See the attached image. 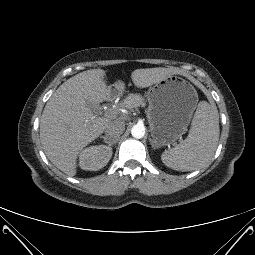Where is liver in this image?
<instances>
[{
    "mask_svg": "<svg viewBox=\"0 0 255 255\" xmlns=\"http://www.w3.org/2000/svg\"><path fill=\"white\" fill-rule=\"evenodd\" d=\"M179 73L173 68L136 69L131 79L136 87L146 88ZM105 75L104 70L96 69L69 78L58 87L43 110L40 119L42 148L48 159L68 176L76 175L77 157L82 149L116 119L115 116L94 115L88 104L97 106L110 98L111 88L106 85Z\"/></svg>",
    "mask_w": 255,
    "mask_h": 255,
    "instance_id": "obj_1",
    "label": "liver"
}]
</instances>
